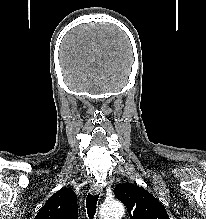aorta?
<instances>
[{
	"instance_id": "762f6f07",
	"label": "aorta",
	"mask_w": 206,
	"mask_h": 219,
	"mask_svg": "<svg viewBox=\"0 0 206 219\" xmlns=\"http://www.w3.org/2000/svg\"><path fill=\"white\" fill-rule=\"evenodd\" d=\"M123 214L124 206L118 200L103 204L100 210L101 219H120Z\"/></svg>"
}]
</instances>
